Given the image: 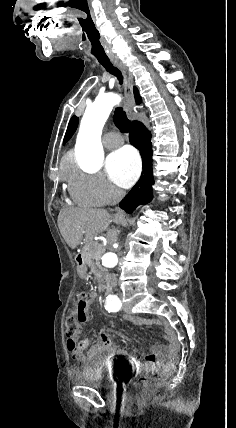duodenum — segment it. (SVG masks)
Masks as SVG:
<instances>
[{"instance_id": "410a0bca", "label": "duodenum", "mask_w": 236, "mask_h": 428, "mask_svg": "<svg viewBox=\"0 0 236 428\" xmlns=\"http://www.w3.org/2000/svg\"><path fill=\"white\" fill-rule=\"evenodd\" d=\"M75 263H76V267H77L78 271L83 272L84 271V259H83V256L81 255V253L76 254ZM115 286H116L115 276L112 274L107 275L105 278L103 288H102V292H103L105 298H108L109 296L113 295Z\"/></svg>"}]
</instances>
